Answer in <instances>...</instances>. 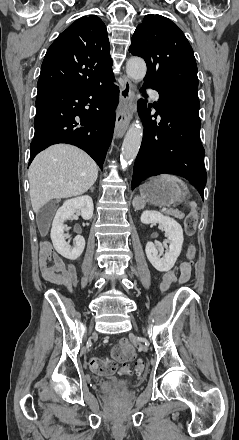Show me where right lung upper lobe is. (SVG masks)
<instances>
[{
    "label": "right lung upper lobe",
    "instance_id": "1",
    "mask_svg": "<svg viewBox=\"0 0 239 440\" xmlns=\"http://www.w3.org/2000/svg\"><path fill=\"white\" fill-rule=\"evenodd\" d=\"M107 29L102 20L81 17L49 47L37 83L38 91L85 86L112 75Z\"/></svg>",
    "mask_w": 239,
    "mask_h": 440
}]
</instances>
